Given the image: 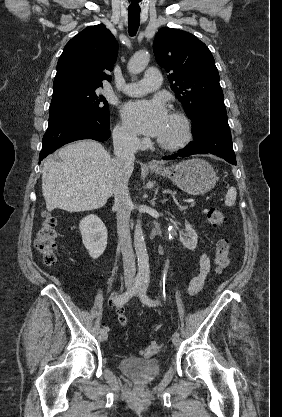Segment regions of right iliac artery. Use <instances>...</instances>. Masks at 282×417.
I'll return each mask as SVG.
<instances>
[{
	"label": "right iliac artery",
	"mask_w": 282,
	"mask_h": 417,
	"mask_svg": "<svg viewBox=\"0 0 282 417\" xmlns=\"http://www.w3.org/2000/svg\"><path fill=\"white\" fill-rule=\"evenodd\" d=\"M142 284H143V280L141 278H137L132 288L129 291L121 293L115 298L114 305L123 306L125 303H127L133 296H135L139 292ZM105 331H106V328L101 329V333Z\"/></svg>",
	"instance_id": "1"
}]
</instances>
